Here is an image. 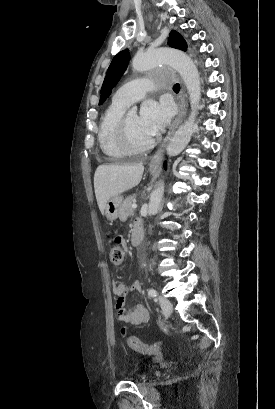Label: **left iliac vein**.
Segmentation results:
<instances>
[{
	"label": "left iliac vein",
	"mask_w": 275,
	"mask_h": 409,
	"mask_svg": "<svg viewBox=\"0 0 275 409\" xmlns=\"http://www.w3.org/2000/svg\"><path fill=\"white\" fill-rule=\"evenodd\" d=\"M157 300H158V302L160 304V307L162 308L164 314L170 315L172 310H173V307H172V304L169 301V299H167L166 297H163V296H158Z\"/></svg>",
	"instance_id": "4c4485c4"
}]
</instances>
